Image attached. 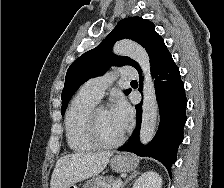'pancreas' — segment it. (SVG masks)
I'll return each mask as SVG.
<instances>
[{"label": "pancreas", "instance_id": "obj_1", "mask_svg": "<svg viewBox=\"0 0 224 188\" xmlns=\"http://www.w3.org/2000/svg\"><path fill=\"white\" fill-rule=\"evenodd\" d=\"M116 181L112 176H95L87 181L83 188H111Z\"/></svg>", "mask_w": 224, "mask_h": 188}]
</instances>
